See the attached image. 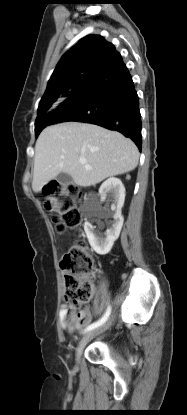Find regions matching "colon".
Masks as SVG:
<instances>
[{"label":"colon","mask_w":187,"mask_h":415,"mask_svg":"<svg viewBox=\"0 0 187 415\" xmlns=\"http://www.w3.org/2000/svg\"><path fill=\"white\" fill-rule=\"evenodd\" d=\"M46 210L54 216L56 230L78 228L81 214L76 207L79 189L75 185L51 181L45 185ZM93 268V258L86 244L79 241L64 256L61 262L65 286V300L69 308L76 309L89 302L94 294V285L88 278Z\"/></svg>","instance_id":"obj_1"}]
</instances>
